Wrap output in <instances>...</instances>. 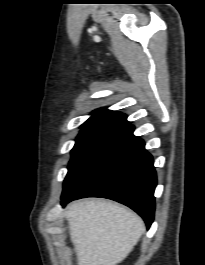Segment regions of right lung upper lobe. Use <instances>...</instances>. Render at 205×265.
I'll list each match as a JSON object with an SVG mask.
<instances>
[{
  "label": "right lung upper lobe",
  "mask_w": 205,
  "mask_h": 265,
  "mask_svg": "<svg viewBox=\"0 0 205 265\" xmlns=\"http://www.w3.org/2000/svg\"><path fill=\"white\" fill-rule=\"evenodd\" d=\"M91 114L92 116L82 124V129L100 126H130V122L127 121V116L120 112L102 108L95 110Z\"/></svg>",
  "instance_id": "cb5924a9"
}]
</instances>
